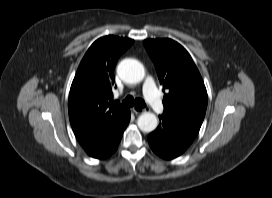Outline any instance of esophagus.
<instances>
[{"label":"esophagus","instance_id":"esophagus-1","mask_svg":"<svg viewBox=\"0 0 272 198\" xmlns=\"http://www.w3.org/2000/svg\"><path fill=\"white\" fill-rule=\"evenodd\" d=\"M133 112L136 113V114H141V113H144V112H147V109L146 108H141V107H137V106H134L132 108Z\"/></svg>","mask_w":272,"mask_h":198}]
</instances>
